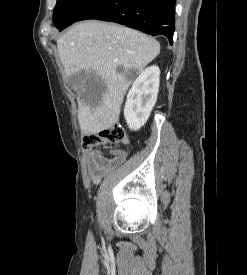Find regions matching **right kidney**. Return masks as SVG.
<instances>
[{"instance_id":"right-kidney-1","label":"right kidney","mask_w":247,"mask_h":275,"mask_svg":"<svg viewBox=\"0 0 247 275\" xmlns=\"http://www.w3.org/2000/svg\"><path fill=\"white\" fill-rule=\"evenodd\" d=\"M159 77V67H147L141 71L129 90L124 117L131 130H139L148 120L157 100Z\"/></svg>"}]
</instances>
